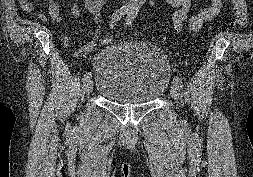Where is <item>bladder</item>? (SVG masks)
I'll use <instances>...</instances> for the list:
<instances>
[{"label": "bladder", "instance_id": "obj_1", "mask_svg": "<svg viewBox=\"0 0 253 177\" xmlns=\"http://www.w3.org/2000/svg\"><path fill=\"white\" fill-rule=\"evenodd\" d=\"M95 89L113 103H152L168 83V63L154 45L110 44L94 65Z\"/></svg>", "mask_w": 253, "mask_h": 177}]
</instances>
